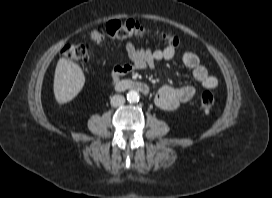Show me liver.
I'll return each instance as SVG.
<instances>
[{"instance_id": "1", "label": "liver", "mask_w": 272, "mask_h": 198, "mask_svg": "<svg viewBox=\"0 0 272 198\" xmlns=\"http://www.w3.org/2000/svg\"><path fill=\"white\" fill-rule=\"evenodd\" d=\"M85 83V76L81 67L65 58L58 60L54 76V95L59 104L74 99Z\"/></svg>"}]
</instances>
